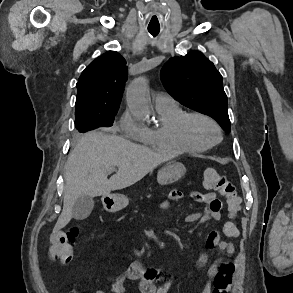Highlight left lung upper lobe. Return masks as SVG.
Wrapping results in <instances>:
<instances>
[{"instance_id":"5c2ea615","label":"left lung upper lobe","mask_w":293,"mask_h":293,"mask_svg":"<svg viewBox=\"0 0 293 293\" xmlns=\"http://www.w3.org/2000/svg\"><path fill=\"white\" fill-rule=\"evenodd\" d=\"M164 87L184 106L215 119L231 130L222 76L199 51L170 58L161 70Z\"/></svg>"}]
</instances>
